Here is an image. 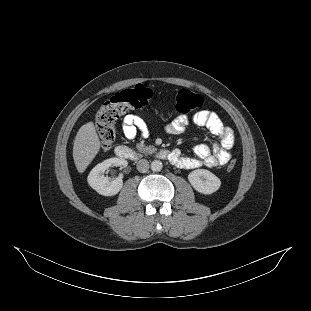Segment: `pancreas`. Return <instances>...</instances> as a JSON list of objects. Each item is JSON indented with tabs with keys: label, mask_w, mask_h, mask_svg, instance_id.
I'll return each mask as SVG.
<instances>
[{
	"label": "pancreas",
	"mask_w": 311,
	"mask_h": 311,
	"mask_svg": "<svg viewBox=\"0 0 311 311\" xmlns=\"http://www.w3.org/2000/svg\"><path fill=\"white\" fill-rule=\"evenodd\" d=\"M136 148L139 152L144 154H152L157 151V148L153 145L146 146L144 143L136 144Z\"/></svg>",
	"instance_id": "1"
}]
</instances>
